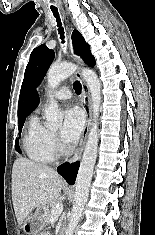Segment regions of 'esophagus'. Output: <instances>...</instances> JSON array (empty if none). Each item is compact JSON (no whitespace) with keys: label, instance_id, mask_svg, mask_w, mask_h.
I'll list each match as a JSON object with an SVG mask.
<instances>
[{"label":"esophagus","instance_id":"1","mask_svg":"<svg viewBox=\"0 0 155 235\" xmlns=\"http://www.w3.org/2000/svg\"><path fill=\"white\" fill-rule=\"evenodd\" d=\"M69 41H70V47H71V51L73 53L74 60L78 64H82V60L80 59V57L77 56L76 54H74V51H73V44H72V40H71V29L69 30ZM75 77L80 81L81 86H82V100L81 101H82V108L85 113L86 121H85V125H84L83 131H82V136L80 139L79 146L77 147V149L74 153V156L71 159V163L77 162L80 159L81 154L83 152V149L85 147V143H86L88 133L90 130V126H91V122H92L89 88L86 85V83L84 82V80L82 79L80 70L76 71Z\"/></svg>","mask_w":155,"mask_h":235}]
</instances>
